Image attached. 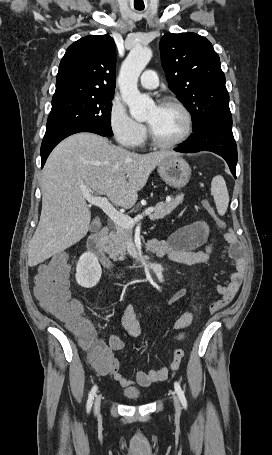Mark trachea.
I'll return each mask as SVG.
<instances>
[{
	"mask_svg": "<svg viewBox=\"0 0 272 455\" xmlns=\"http://www.w3.org/2000/svg\"><path fill=\"white\" fill-rule=\"evenodd\" d=\"M137 10H143V8H136Z\"/></svg>",
	"mask_w": 272,
	"mask_h": 455,
	"instance_id": "3493384b",
	"label": "trachea"
}]
</instances>
